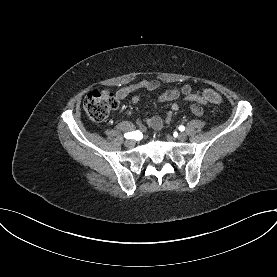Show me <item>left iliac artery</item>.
<instances>
[{
  "instance_id": "obj_1",
  "label": "left iliac artery",
  "mask_w": 277,
  "mask_h": 277,
  "mask_svg": "<svg viewBox=\"0 0 277 277\" xmlns=\"http://www.w3.org/2000/svg\"><path fill=\"white\" fill-rule=\"evenodd\" d=\"M179 130H180V131H184V130H185V127H184V126H179Z\"/></svg>"
}]
</instances>
